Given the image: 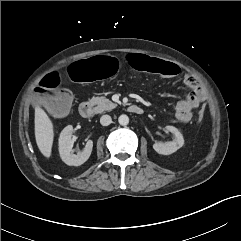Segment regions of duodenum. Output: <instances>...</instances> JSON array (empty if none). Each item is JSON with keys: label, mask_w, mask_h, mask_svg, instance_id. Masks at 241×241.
Instances as JSON below:
<instances>
[{"label": "duodenum", "mask_w": 241, "mask_h": 241, "mask_svg": "<svg viewBox=\"0 0 241 241\" xmlns=\"http://www.w3.org/2000/svg\"><path fill=\"white\" fill-rule=\"evenodd\" d=\"M128 110H129V112H131L133 114H137V115L143 113V109L140 106H137V105H130L128 107ZM79 113L83 118L92 117V115L94 113L93 105L88 101H83L79 105Z\"/></svg>", "instance_id": "obj_1"}]
</instances>
